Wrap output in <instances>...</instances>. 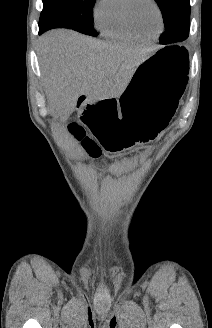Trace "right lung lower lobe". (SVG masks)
I'll list each match as a JSON object with an SVG mask.
<instances>
[{"label":"right lung lower lobe","mask_w":212,"mask_h":328,"mask_svg":"<svg viewBox=\"0 0 212 328\" xmlns=\"http://www.w3.org/2000/svg\"><path fill=\"white\" fill-rule=\"evenodd\" d=\"M44 31H46L45 28L39 27V34L43 33Z\"/></svg>","instance_id":"1"}]
</instances>
